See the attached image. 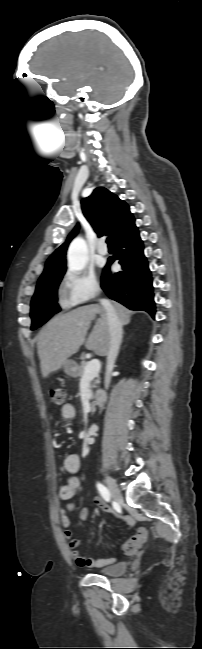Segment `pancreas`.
<instances>
[{
    "label": "pancreas",
    "mask_w": 202,
    "mask_h": 649,
    "mask_svg": "<svg viewBox=\"0 0 202 649\" xmlns=\"http://www.w3.org/2000/svg\"><path fill=\"white\" fill-rule=\"evenodd\" d=\"M86 365H87V363L85 361H83V362H81V364L79 366H77V373H76L77 377H79V378L83 377L84 368H85ZM99 383H100V378H99V376H96V379L91 381L90 388L91 389L96 388L97 384H99Z\"/></svg>",
    "instance_id": "obj_1"
}]
</instances>
